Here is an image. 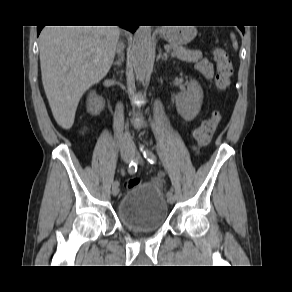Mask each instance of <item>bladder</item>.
<instances>
[{
	"label": "bladder",
	"mask_w": 292,
	"mask_h": 292,
	"mask_svg": "<svg viewBox=\"0 0 292 292\" xmlns=\"http://www.w3.org/2000/svg\"><path fill=\"white\" fill-rule=\"evenodd\" d=\"M117 216L129 232L154 233L165 225L169 208L159 185L146 183L127 190L118 202Z\"/></svg>",
	"instance_id": "obj_1"
}]
</instances>
